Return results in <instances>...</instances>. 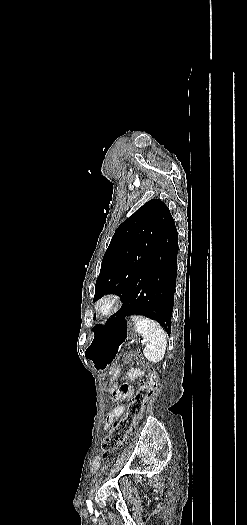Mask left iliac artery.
Here are the masks:
<instances>
[{
  "label": "left iliac artery",
  "instance_id": "obj_1",
  "mask_svg": "<svg viewBox=\"0 0 247 525\" xmlns=\"http://www.w3.org/2000/svg\"><path fill=\"white\" fill-rule=\"evenodd\" d=\"M86 503H87V507H88L89 511H92V510H93V505H92L91 500L88 499V500L86 501Z\"/></svg>",
  "mask_w": 247,
  "mask_h": 525
}]
</instances>
